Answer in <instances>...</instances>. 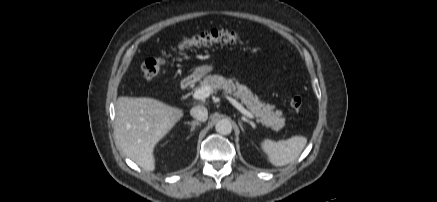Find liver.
<instances>
[{
  "mask_svg": "<svg viewBox=\"0 0 437 202\" xmlns=\"http://www.w3.org/2000/svg\"><path fill=\"white\" fill-rule=\"evenodd\" d=\"M184 112L148 97H119L115 135L123 153L146 171L155 169L154 148Z\"/></svg>",
  "mask_w": 437,
  "mask_h": 202,
  "instance_id": "6515ba94",
  "label": "liver"
}]
</instances>
